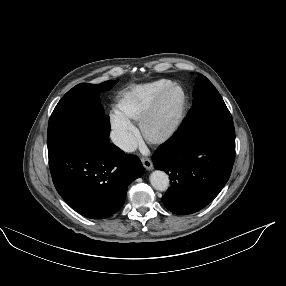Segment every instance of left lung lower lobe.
Here are the masks:
<instances>
[{"label": "left lung lower lobe", "mask_w": 286, "mask_h": 286, "mask_svg": "<svg viewBox=\"0 0 286 286\" xmlns=\"http://www.w3.org/2000/svg\"><path fill=\"white\" fill-rule=\"evenodd\" d=\"M235 159V133L211 132L180 141L169 139L152 156L156 169L165 171L171 187L165 207L191 214L207 206L228 181Z\"/></svg>", "instance_id": "0a47b994"}]
</instances>
